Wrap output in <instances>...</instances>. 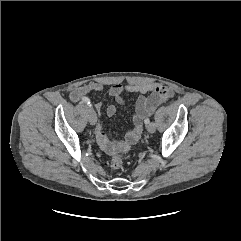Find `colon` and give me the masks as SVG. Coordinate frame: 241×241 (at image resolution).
Wrapping results in <instances>:
<instances>
[{
    "label": "colon",
    "instance_id": "colon-1",
    "mask_svg": "<svg viewBox=\"0 0 241 241\" xmlns=\"http://www.w3.org/2000/svg\"><path fill=\"white\" fill-rule=\"evenodd\" d=\"M128 148L129 147L125 148L123 150V153H125L128 150ZM123 153L115 154L114 156H112L111 162H110V165H111L112 169L118 170L122 167L123 161H124Z\"/></svg>",
    "mask_w": 241,
    "mask_h": 241
}]
</instances>
